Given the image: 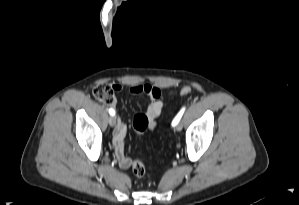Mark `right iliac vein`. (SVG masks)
<instances>
[{
  "label": "right iliac vein",
  "mask_w": 299,
  "mask_h": 205,
  "mask_svg": "<svg viewBox=\"0 0 299 205\" xmlns=\"http://www.w3.org/2000/svg\"><path fill=\"white\" fill-rule=\"evenodd\" d=\"M109 124L111 127H114L116 125V116L112 115L109 117Z\"/></svg>",
  "instance_id": "1"
}]
</instances>
